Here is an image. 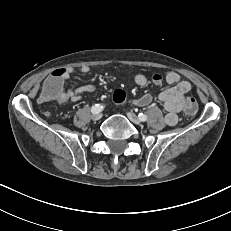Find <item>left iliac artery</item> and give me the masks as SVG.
I'll list each match as a JSON object with an SVG mask.
<instances>
[{"label": "left iliac artery", "mask_w": 231, "mask_h": 231, "mask_svg": "<svg viewBox=\"0 0 231 231\" xmlns=\"http://www.w3.org/2000/svg\"><path fill=\"white\" fill-rule=\"evenodd\" d=\"M138 117H139L140 121H142V122H144V121L147 120V116H146L145 114H143V113H140V114L138 115Z\"/></svg>", "instance_id": "44dca946"}]
</instances>
